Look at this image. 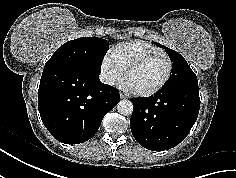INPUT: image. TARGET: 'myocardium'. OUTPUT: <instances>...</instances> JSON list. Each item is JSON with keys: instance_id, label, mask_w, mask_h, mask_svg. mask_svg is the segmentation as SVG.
Returning a JSON list of instances; mask_svg holds the SVG:
<instances>
[{"instance_id": "1", "label": "myocardium", "mask_w": 236, "mask_h": 178, "mask_svg": "<svg viewBox=\"0 0 236 178\" xmlns=\"http://www.w3.org/2000/svg\"><path fill=\"white\" fill-rule=\"evenodd\" d=\"M156 56H164L168 60L169 67H168V71H167V74L164 77V79L157 86H155L154 88L149 89V90H145V91H138V90H134V89L128 87L126 85V83H125V80H126V77L130 74V72H132L134 69H136L137 67L142 65L147 60H149V59H151L153 57H156ZM172 73H173V61H172L171 57L167 53L162 52V51L150 53V54H147L145 56L136 58L135 60L130 62L125 67V69L123 71V78H122L123 86L125 87V89L129 93H131V94H133L135 96L148 97V96H151V95L159 92L168 83V81L170 80V78L172 76Z\"/></svg>"}]
</instances>
